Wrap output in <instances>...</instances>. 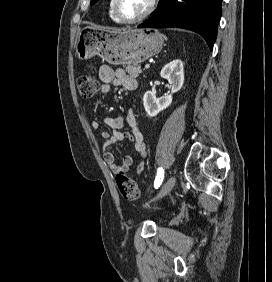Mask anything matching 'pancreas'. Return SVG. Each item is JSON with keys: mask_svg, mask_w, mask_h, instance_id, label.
I'll return each instance as SVG.
<instances>
[{"mask_svg": "<svg viewBox=\"0 0 272 282\" xmlns=\"http://www.w3.org/2000/svg\"><path fill=\"white\" fill-rule=\"evenodd\" d=\"M125 69L126 72L133 78L138 77L139 74L142 73L141 67L139 65H127Z\"/></svg>", "mask_w": 272, "mask_h": 282, "instance_id": "pancreas-1", "label": "pancreas"}]
</instances>
